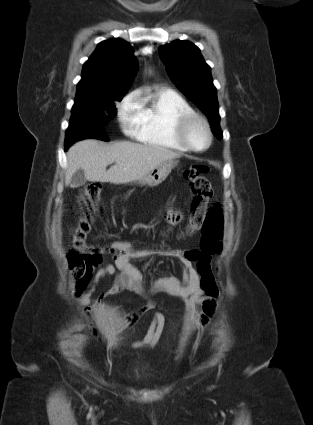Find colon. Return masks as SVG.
<instances>
[{
	"instance_id": "obj_1",
	"label": "colon",
	"mask_w": 313,
	"mask_h": 425,
	"mask_svg": "<svg viewBox=\"0 0 313 425\" xmlns=\"http://www.w3.org/2000/svg\"><path fill=\"white\" fill-rule=\"evenodd\" d=\"M208 172L209 168L206 165L196 164L183 173L193 194L185 234L202 231L200 247L188 249L185 257L194 264L200 275L204 296L216 299L220 292L211 267V255L222 250L224 222L218 205L208 207V202L213 196L212 184L205 176ZM101 192L102 186L98 183L87 184L81 191V204L85 211L79 216L71 231V250L68 256L70 269L77 279L83 278L103 253L112 252L108 248L87 243L95 213L100 208Z\"/></svg>"
}]
</instances>
